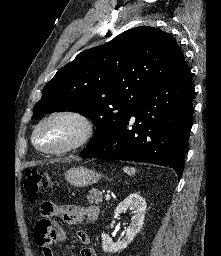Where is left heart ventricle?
<instances>
[{
  "instance_id": "b2bd125f",
  "label": "left heart ventricle",
  "mask_w": 221,
  "mask_h": 256,
  "mask_svg": "<svg viewBox=\"0 0 221 256\" xmlns=\"http://www.w3.org/2000/svg\"><path fill=\"white\" fill-rule=\"evenodd\" d=\"M79 127L76 122L59 118L46 123L38 132V143L46 148L63 146L76 138Z\"/></svg>"
}]
</instances>
